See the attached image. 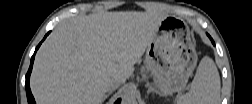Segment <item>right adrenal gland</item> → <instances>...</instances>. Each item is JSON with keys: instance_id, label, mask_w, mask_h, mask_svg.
Listing matches in <instances>:
<instances>
[{"instance_id": "obj_1", "label": "right adrenal gland", "mask_w": 252, "mask_h": 104, "mask_svg": "<svg viewBox=\"0 0 252 104\" xmlns=\"http://www.w3.org/2000/svg\"><path fill=\"white\" fill-rule=\"evenodd\" d=\"M110 95H111V92H109L108 94H106L105 97H104V100H106ZM104 100H103V102H104Z\"/></svg>"}]
</instances>
